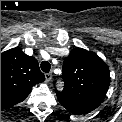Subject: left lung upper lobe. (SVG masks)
Returning a JSON list of instances; mask_svg holds the SVG:
<instances>
[{"label":"left lung upper lobe","mask_w":122,"mask_h":122,"mask_svg":"<svg viewBox=\"0 0 122 122\" xmlns=\"http://www.w3.org/2000/svg\"><path fill=\"white\" fill-rule=\"evenodd\" d=\"M64 89L56 90L59 102L68 111L81 115L96 109L110 85L109 68L94 52L74 48L63 63Z\"/></svg>","instance_id":"5c2ea615"}]
</instances>
